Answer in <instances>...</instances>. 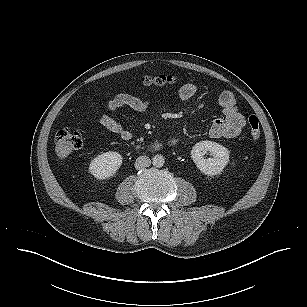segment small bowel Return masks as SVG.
Segmentation results:
<instances>
[{
	"label": "small bowel",
	"instance_id": "1",
	"mask_svg": "<svg viewBox=\"0 0 307 307\" xmlns=\"http://www.w3.org/2000/svg\"><path fill=\"white\" fill-rule=\"evenodd\" d=\"M198 87L193 83H185L179 90V96L183 100H189L197 93ZM219 105L222 108L224 117L216 118L209 127V135L213 138H235L237 137L245 124L243 115L239 112L236 100L229 91H223L218 97ZM129 107L136 112H146L149 108V102L137 96L128 93L116 95L108 101L106 109L108 112L117 110L120 107ZM100 124L108 131L118 135L123 141L132 140V133L125 129L121 123L115 120L108 113H104L99 118ZM171 145L177 144L176 139H170Z\"/></svg>",
	"mask_w": 307,
	"mask_h": 307
}]
</instances>
